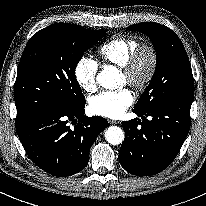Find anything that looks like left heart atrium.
Returning <instances> with one entry per match:
<instances>
[{
  "label": "left heart atrium",
  "instance_id": "left-heart-atrium-1",
  "mask_svg": "<svg viewBox=\"0 0 206 206\" xmlns=\"http://www.w3.org/2000/svg\"><path fill=\"white\" fill-rule=\"evenodd\" d=\"M134 95L129 89L116 92H104L92 97L89 101V110L92 114L118 119L133 104Z\"/></svg>",
  "mask_w": 206,
  "mask_h": 206
}]
</instances>
